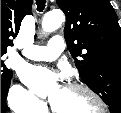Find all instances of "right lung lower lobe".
<instances>
[{
  "mask_svg": "<svg viewBox=\"0 0 121 113\" xmlns=\"http://www.w3.org/2000/svg\"><path fill=\"white\" fill-rule=\"evenodd\" d=\"M9 86L8 87H1V113H6L7 111H9V108L5 102V99H6L7 94H8Z\"/></svg>",
  "mask_w": 121,
  "mask_h": 113,
  "instance_id": "obj_1",
  "label": "right lung lower lobe"
}]
</instances>
